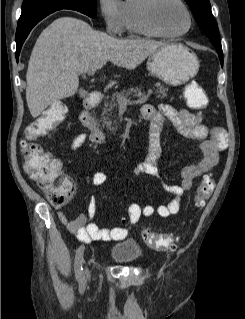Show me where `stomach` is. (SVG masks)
I'll list each match as a JSON object with an SVG mask.
<instances>
[{
  "instance_id": "1",
  "label": "stomach",
  "mask_w": 245,
  "mask_h": 319,
  "mask_svg": "<svg viewBox=\"0 0 245 319\" xmlns=\"http://www.w3.org/2000/svg\"><path fill=\"white\" fill-rule=\"evenodd\" d=\"M147 69L165 83L177 86L197 74L199 60L182 44H166L149 55Z\"/></svg>"
}]
</instances>
